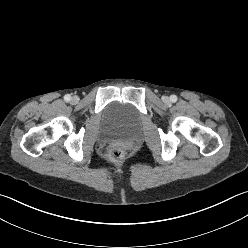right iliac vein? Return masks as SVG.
I'll return each mask as SVG.
<instances>
[{
    "label": "right iliac vein",
    "instance_id": "1",
    "mask_svg": "<svg viewBox=\"0 0 248 248\" xmlns=\"http://www.w3.org/2000/svg\"><path fill=\"white\" fill-rule=\"evenodd\" d=\"M79 101L78 96H73L72 97V103H77Z\"/></svg>",
    "mask_w": 248,
    "mask_h": 248
}]
</instances>
